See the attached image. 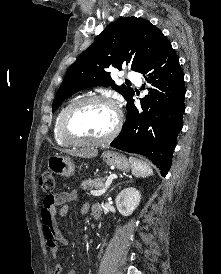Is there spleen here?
I'll use <instances>...</instances> for the list:
<instances>
[{"label":"spleen","instance_id":"obj_1","mask_svg":"<svg viewBox=\"0 0 221 274\" xmlns=\"http://www.w3.org/2000/svg\"><path fill=\"white\" fill-rule=\"evenodd\" d=\"M129 162L131 164L132 173L135 177L145 178L153 175V170L146 162H143L142 160H139L134 157H130Z\"/></svg>","mask_w":221,"mask_h":274}]
</instances>
